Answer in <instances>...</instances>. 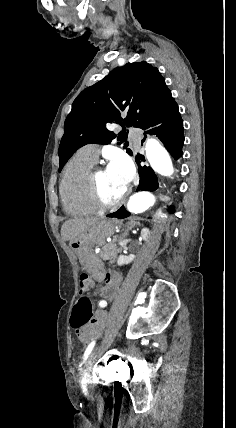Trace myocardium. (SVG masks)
I'll return each instance as SVG.
<instances>
[{
    "mask_svg": "<svg viewBox=\"0 0 236 428\" xmlns=\"http://www.w3.org/2000/svg\"><path fill=\"white\" fill-rule=\"evenodd\" d=\"M106 170H108V167L93 170L88 181V190L91 201L99 209H112L121 206L128 199L132 190V187L129 184L124 194L117 200L109 201L105 199L100 190V178Z\"/></svg>",
    "mask_w": 236,
    "mask_h": 428,
    "instance_id": "obj_1",
    "label": "myocardium"
}]
</instances>
